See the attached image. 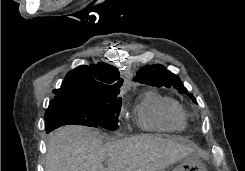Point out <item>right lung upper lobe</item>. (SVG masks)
<instances>
[{
	"label": "right lung upper lobe",
	"mask_w": 245,
	"mask_h": 171,
	"mask_svg": "<svg viewBox=\"0 0 245 171\" xmlns=\"http://www.w3.org/2000/svg\"><path fill=\"white\" fill-rule=\"evenodd\" d=\"M122 83L123 79L119 78V71L114 66L105 63L79 66L68 72L61 88L53 90L56 96L51 102L117 96Z\"/></svg>",
	"instance_id": "1"
}]
</instances>
